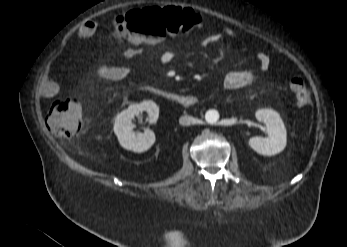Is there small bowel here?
<instances>
[{"label":"small bowel","instance_id":"obj_1","mask_svg":"<svg viewBox=\"0 0 347 247\" xmlns=\"http://www.w3.org/2000/svg\"><path fill=\"white\" fill-rule=\"evenodd\" d=\"M97 25L95 21L88 20L78 27L75 34L82 39L91 37L96 31ZM238 34L232 29H223L217 33L208 35L203 39L204 46H212L223 39L237 40ZM139 42L133 41V46L125 47L122 54L127 59H133L141 56L143 51L138 48ZM174 54L171 51H163L160 55V61L164 64L172 62ZM259 67L262 70H268L271 65V59L268 54L260 52L257 55ZM135 68L127 65H109L101 64L97 68V74L104 80L121 81L133 75ZM257 82L256 74L251 70L231 71L224 76L223 84L229 90H237L244 87H249ZM40 87L43 94L47 97L55 95L59 86L54 80L53 71L46 69L40 81Z\"/></svg>","mask_w":347,"mask_h":247}]
</instances>
